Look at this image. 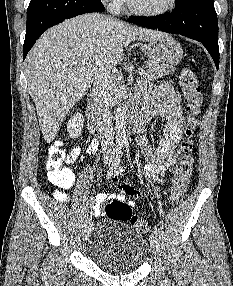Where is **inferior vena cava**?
<instances>
[{"instance_id":"602c4592","label":"inferior vena cava","mask_w":233,"mask_h":286,"mask_svg":"<svg viewBox=\"0 0 233 286\" xmlns=\"http://www.w3.org/2000/svg\"><path fill=\"white\" fill-rule=\"evenodd\" d=\"M93 92L97 105V124L100 132L109 135L108 144L112 145V116H111V80L110 70L102 68L99 70L93 85Z\"/></svg>"}]
</instances>
